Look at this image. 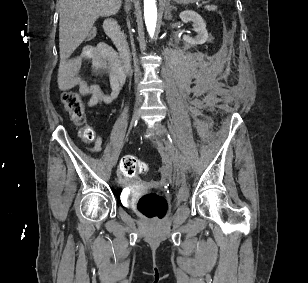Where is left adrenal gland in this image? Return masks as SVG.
Instances as JSON below:
<instances>
[{
	"instance_id": "1",
	"label": "left adrenal gland",
	"mask_w": 308,
	"mask_h": 283,
	"mask_svg": "<svg viewBox=\"0 0 308 283\" xmlns=\"http://www.w3.org/2000/svg\"><path fill=\"white\" fill-rule=\"evenodd\" d=\"M161 3L164 8V19L171 20V11L176 10V7L170 3V0H162Z\"/></svg>"
}]
</instances>
